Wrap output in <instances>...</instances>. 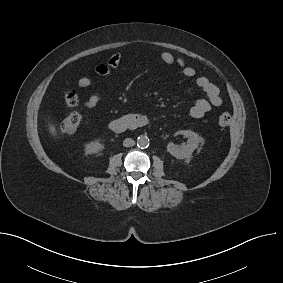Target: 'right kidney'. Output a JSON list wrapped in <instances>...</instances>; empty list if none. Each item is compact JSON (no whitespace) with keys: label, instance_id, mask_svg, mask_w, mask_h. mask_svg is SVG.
<instances>
[{"label":"right kidney","instance_id":"right-kidney-1","mask_svg":"<svg viewBox=\"0 0 283 283\" xmlns=\"http://www.w3.org/2000/svg\"><path fill=\"white\" fill-rule=\"evenodd\" d=\"M104 149V145L99 142H91L85 146L86 154H97Z\"/></svg>","mask_w":283,"mask_h":283}]
</instances>
